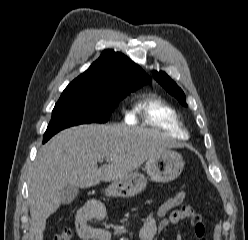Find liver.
<instances>
[{
    "mask_svg": "<svg viewBox=\"0 0 248 240\" xmlns=\"http://www.w3.org/2000/svg\"><path fill=\"white\" fill-rule=\"evenodd\" d=\"M179 146L165 135L126 125H80L55 135L34 162L29 210L35 240H43L48 217L61 205L65 185L80 188L127 177L145 161ZM106 160L98 168L97 163Z\"/></svg>",
    "mask_w": 248,
    "mask_h": 240,
    "instance_id": "1",
    "label": "liver"
}]
</instances>
